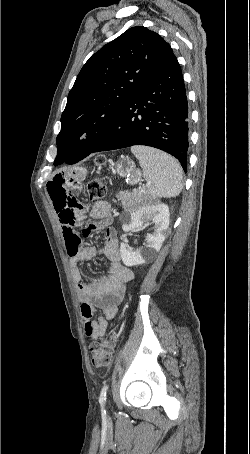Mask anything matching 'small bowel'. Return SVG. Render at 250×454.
Wrapping results in <instances>:
<instances>
[{
	"label": "small bowel",
	"mask_w": 250,
	"mask_h": 454,
	"mask_svg": "<svg viewBox=\"0 0 250 454\" xmlns=\"http://www.w3.org/2000/svg\"><path fill=\"white\" fill-rule=\"evenodd\" d=\"M81 189L82 180L73 176L56 175L47 184L48 194L62 228L67 253L71 258L72 276L77 283L85 332L87 336L97 338L104 335L110 326L109 322L115 320L118 304L133 273L121 261L119 241L116 232L110 227V205L99 201L88 208L75 196ZM86 221L88 226L84 230V236H89L94 230L105 231L106 239L102 248L83 245L76 228L83 226ZM101 253L110 261L109 273L83 280L78 262L91 260ZM96 308L102 310L104 316L94 319Z\"/></svg>",
	"instance_id": "1"
}]
</instances>
